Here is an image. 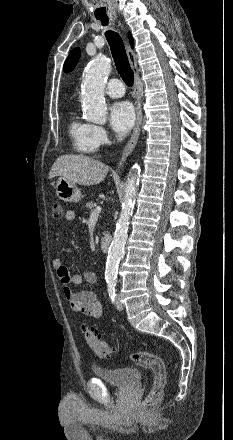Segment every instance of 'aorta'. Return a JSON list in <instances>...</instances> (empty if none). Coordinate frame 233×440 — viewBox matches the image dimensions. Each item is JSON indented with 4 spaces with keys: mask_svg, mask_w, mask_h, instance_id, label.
Instances as JSON below:
<instances>
[{
    "mask_svg": "<svg viewBox=\"0 0 233 440\" xmlns=\"http://www.w3.org/2000/svg\"><path fill=\"white\" fill-rule=\"evenodd\" d=\"M110 71V61L101 55L95 57L86 69L81 99L84 105V115L90 122L99 124H104L106 122L107 107L104 101V89ZM139 172L140 168L135 164L134 170L127 180L120 217L117 221L116 230L108 251L105 270V277L107 280L116 279L118 264L124 255V246L128 236L129 221L133 213L137 187L139 184Z\"/></svg>",
    "mask_w": 233,
    "mask_h": 440,
    "instance_id": "obj_1",
    "label": "aorta"
}]
</instances>
